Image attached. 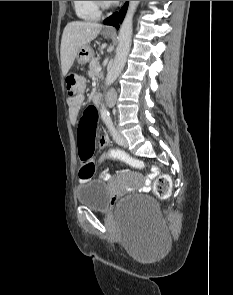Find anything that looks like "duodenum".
<instances>
[{"mask_svg": "<svg viewBox=\"0 0 233 295\" xmlns=\"http://www.w3.org/2000/svg\"><path fill=\"white\" fill-rule=\"evenodd\" d=\"M100 99H101V95L99 93L95 94L93 98V104L97 106L100 103Z\"/></svg>", "mask_w": 233, "mask_h": 295, "instance_id": "duodenum-1", "label": "duodenum"}]
</instances>
